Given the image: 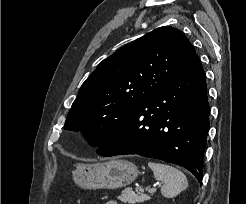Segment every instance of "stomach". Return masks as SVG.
Instances as JSON below:
<instances>
[{
	"mask_svg": "<svg viewBox=\"0 0 246 204\" xmlns=\"http://www.w3.org/2000/svg\"><path fill=\"white\" fill-rule=\"evenodd\" d=\"M138 174L134 163L114 159L104 163L78 164L73 171V180L83 189H118L134 182Z\"/></svg>",
	"mask_w": 246,
	"mask_h": 204,
	"instance_id": "stomach-1",
	"label": "stomach"
}]
</instances>
